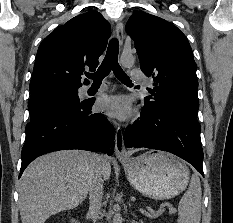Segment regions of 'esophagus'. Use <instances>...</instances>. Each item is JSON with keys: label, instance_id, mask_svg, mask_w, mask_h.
Segmentation results:
<instances>
[{"label": "esophagus", "instance_id": "esophagus-1", "mask_svg": "<svg viewBox=\"0 0 233 223\" xmlns=\"http://www.w3.org/2000/svg\"><path fill=\"white\" fill-rule=\"evenodd\" d=\"M115 33L119 45L122 46L124 41V26L122 22H118L116 24ZM115 154L118 159H126L129 157L128 152L124 146L122 128H120L119 126L116 128L115 133Z\"/></svg>", "mask_w": 233, "mask_h": 223}]
</instances>
